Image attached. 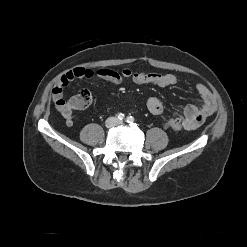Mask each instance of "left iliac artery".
<instances>
[{"instance_id": "44dca946", "label": "left iliac artery", "mask_w": 247, "mask_h": 247, "mask_svg": "<svg viewBox=\"0 0 247 247\" xmlns=\"http://www.w3.org/2000/svg\"><path fill=\"white\" fill-rule=\"evenodd\" d=\"M133 121H134V118L132 116H128L126 118V122H128V123H132Z\"/></svg>"}]
</instances>
